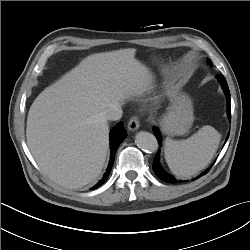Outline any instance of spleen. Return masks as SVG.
<instances>
[{"instance_id": "1", "label": "spleen", "mask_w": 250, "mask_h": 250, "mask_svg": "<svg viewBox=\"0 0 250 250\" xmlns=\"http://www.w3.org/2000/svg\"><path fill=\"white\" fill-rule=\"evenodd\" d=\"M221 134L206 125L185 140L166 138L164 154L168 167L178 177L188 178L204 169L214 157Z\"/></svg>"}]
</instances>
